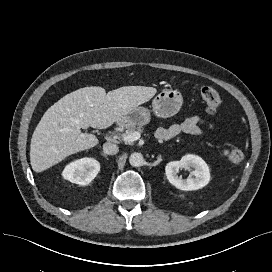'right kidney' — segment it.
Returning <instances> with one entry per match:
<instances>
[{"mask_svg":"<svg viewBox=\"0 0 272 272\" xmlns=\"http://www.w3.org/2000/svg\"><path fill=\"white\" fill-rule=\"evenodd\" d=\"M100 163L94 158H82L68 164L62 172L64 179L84 186L89 184L99 173Z\"/></svg>","mask_w":272,"mask_h":272,"instance_id":"obj_1","label":"right kidney"}]
</instances>
